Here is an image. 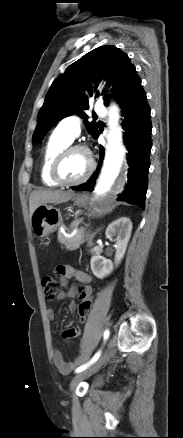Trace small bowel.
<instances>
[{"mask_svg":"<svg viewBox=\"0 0 183 438\" xmlns=\"http://www.w3.org/2000/svg\"><path fill=\"white\" fill-rule=\"evenodd\" d=\"M56 270L60 276V284L66 288L64 291H61L57 295L58 300L74 298L77 295L79 296L80 299L83 296H91L92 289L88 284L92 281V278L88 273H86L81 269L72 267L70 265H59L57 266ZM72 277H74L78 281V283L68 288L69 279ZM79 283L84 285H80ZM69 308L74 309L75 302H71ZM48 317L50 320H54L55 313L52 309L48 310ZM80 333H81L80 327L73 326L64 332V337L66 339H70L77 337L78 335H80ZM88 356L89 353L85 352L84 354H82L81 356H79L78 358L72 361H66L62 353L58 350H55L53 353V362L61 373L69 374L74 370L75 367H77L84 360H86Z\"/></svg>","mask_w":183,"mask_h":438,"instance_id":"c3829d8e","label":"small bowel"}]
</instances>
